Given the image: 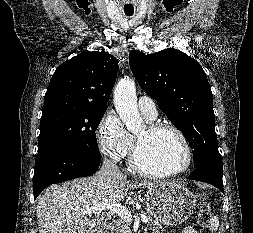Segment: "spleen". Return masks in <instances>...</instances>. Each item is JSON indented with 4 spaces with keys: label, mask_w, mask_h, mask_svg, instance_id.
<instances>
[{
    "label": "spleen",
    "mask_w": 253,
    "mask_h": 233,
    "mask_svg": "<svg viewBox=\"0 0 253 233\" xmlns=\"http://www.w3.org/2000/svg\"><path fill=\"white\" fill-rule=\"evenodd\" d=\"M209 225L212 230H217L219 226V218L217 216L211 217L209 220Z\"/></svg>",
    "instance_id": "1"
}]
</instances>
